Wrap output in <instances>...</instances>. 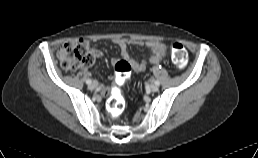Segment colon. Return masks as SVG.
I'll return each mask as SVG.
<instances>
[{"label": "colon", "instance_id": "5ec220e1", "mask_svg": "<svg viewBox=\"0 0 258 158\" xmlns=\"http://www.w3.org/2000/svg\"><path fill=\"white\" fill-rule=\"evenodd\" d=\"M172 63L183 69L187 65L188 53L185 46L180 42L169 45ZM95 55L89 49L88 43L83 39H73L65 42L58 50V58L61 66L67 71H73L80 67H89L95 62ZM114 88L108 101V111L111 115H119L125 106L121 93V86L125 84L131 73V65L126 60H119L114 65Z\"/></svg>", "mask_w": 258, "mask_h": 158}]
</instances>
